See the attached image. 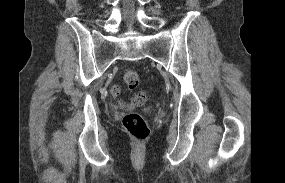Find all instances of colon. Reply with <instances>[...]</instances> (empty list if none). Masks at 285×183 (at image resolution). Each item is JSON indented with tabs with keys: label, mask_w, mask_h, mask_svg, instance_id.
Segmentation results:
<instances>
[{
	"label": "colon",
	"mask_w": 285,
	"mask_h": 183,
	"mask_svg": "<svg viewBox=\"0 0 285 183\" xmlns=\"http://www.w3.org/2000/svg\"><path fill=\"white\" fill-rule=\"evenodd\" d=\"M123 79L130 89L136 88L139 84L138 73L131 68L124 70ZM144 99V93H136L131 99L130 106L140 105ZM122 123L126 131L139 141H143L149 136V128L145 122V119L138 112H127L123 117Z\"/></svg>",
	"instance_id": "5ec220e1"
}]
</instances>
